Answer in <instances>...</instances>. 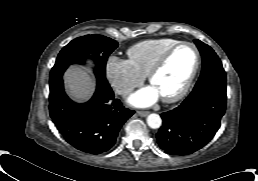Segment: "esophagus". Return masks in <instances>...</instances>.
<instances>
[{
	"mask_svg": "<svg viewBox=\"0 0 258 181\" xmlns=\"http://www.w3.org/2000/svg\"><path fill=\"white\" fill-rule=\"evenodd\" d=\"M137 113H138V115L141 116V117H145V116H147V115L149 114L148 111H138Z\"/></svg>",
	"mask_w": 258,
	"mask_h": 181,
	"instance_id": "obj_1",
	"label": "esophagus"
}]
</instances>
